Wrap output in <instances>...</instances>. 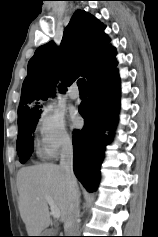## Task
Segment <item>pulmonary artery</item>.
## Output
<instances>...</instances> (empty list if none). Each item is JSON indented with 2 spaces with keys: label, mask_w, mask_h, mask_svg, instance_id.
<instances>
[{
  "label": "pulmonary artery",
  "mask_w": 158,
  "mask_h": 237,
  "mask_svg": "<svg viewBox=\"0 0 158 237\" xmlns=\"http://www.w3.org/2000/svg\"><path fill=\"white\" fill-rule=\"evenodd\" d=\"M68 96H69L72 100H76V99L79 98V92L70 89V90L68 91Z\"/></svg>",
  "instance_id": "1"
}]
</instances>
